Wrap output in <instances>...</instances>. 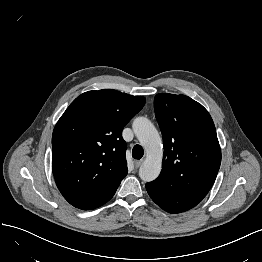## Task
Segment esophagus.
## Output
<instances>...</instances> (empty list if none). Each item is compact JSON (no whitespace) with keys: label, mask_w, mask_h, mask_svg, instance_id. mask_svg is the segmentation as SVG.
<instances>
[{"label":"esophagus","mask_w":262,"mask_h":262,"mask_svg":"<svg viewBox=\"0 0 262 262\" xmlns=\"http://www.w3.org/2000/svg\"><path fill=\"white\" fill-rule=\"evenodd\" d=\"M142 163H143V160H135L134 161L135 168H139Z\"/></svg>","instance_id":"34e87169"}]
</instances>
